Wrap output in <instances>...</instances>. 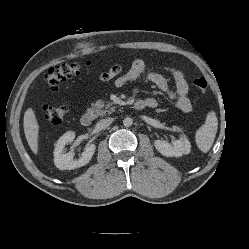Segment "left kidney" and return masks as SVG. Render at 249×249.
<instances>
[{"label": "left kidney", "instance_id": "1", "mask_svg": "<svg viewBox=\"0 0 249 249\" xmlns=\"http://www.w3.org/2000/svg\"><path fill=\"white\" fill-rule=\"evenodd\" d=\"M176 126L172 127L173 131L178 130ZM154 146L163 156L180 157L183 154H188L191 151V144L186 136H182L179 140L173 141L172 144L163 140H155Z\"/></svg>", "mask_w": 249, "mask_h": 249}]
</instances>
